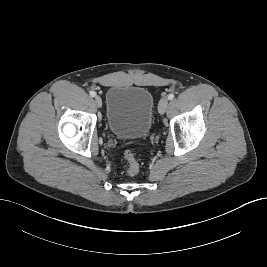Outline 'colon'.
Here are the masks:
<instances>
[{
  "mask_svg": "<svg viewBox=\"0 0 267 267\" xmlns=\"http://www.w3.org/2000/svg\"><path fill=\"white\" fill-rule=\"evenodd\" d=\"M123 159L126 166V173L129 176L138 175L140 172V165L132 151L126 150L123 154Z\"/></svg>",
  "mask_w": 267,
  "mask_h": 267,
  "instance_id": "colon-1",
  "label": "colon"
}]
</instances>
